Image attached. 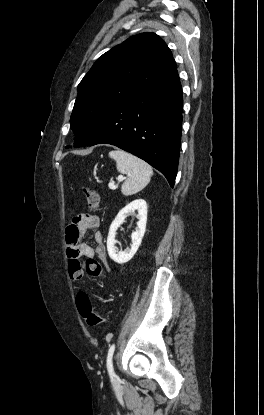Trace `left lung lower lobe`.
<instances>
[{
	"mask_svg": "<svg viewBox=\"0 0 264 415\" xmlns=\"http://www.w3.org/2000/svg\"><path fill=\"white\" fill-rule=\"evenodd\" d=\"M182 108V88L176 68L121 101L81 146L115 145L159 170L173 187L180 152Z\"/></svg>",
	"mask_w": 264,
	"mask_h": 415,
	"instance_id": "obj_1",
	"label": "left lung lower lobe"
}]
</instances>
